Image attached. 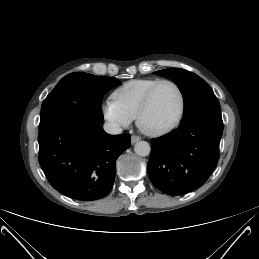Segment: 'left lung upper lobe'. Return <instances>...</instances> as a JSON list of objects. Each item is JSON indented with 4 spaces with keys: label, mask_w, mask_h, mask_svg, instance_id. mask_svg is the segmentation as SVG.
<instances>
[{
    "label": "left lung upper lobe",
    "mask_w": 259,
    "mask_h": 259,
    "mask_svg": "<svg viewBox=\"0 0 259 259\" xmlns=\"http://www.w3.org/2000/svg\"><path fill=\"white\" fill-rule=\"evenodd\" d=\"M172 79L184 98V115L181 124L200 116H221L220 104L210 86L198 75L180 68L155 72Z\"/></svg>",
    "instance_id": "left-lung-upper-lobe-1"
}]
</instances>
